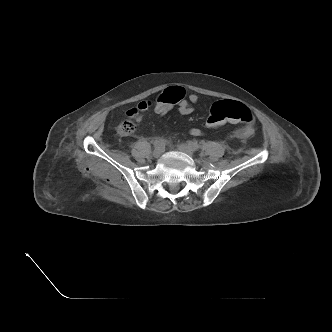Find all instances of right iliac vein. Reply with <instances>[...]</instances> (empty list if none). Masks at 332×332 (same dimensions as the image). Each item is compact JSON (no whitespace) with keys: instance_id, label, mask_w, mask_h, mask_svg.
Returning <instances> with one entry per match:
<instances>
[{"instance_id":"obj_1","label":"right iliac vein","mask_w":332,"mask_h":332,"mask_svg":"<svg viewBox=\"0 0 332 332\" xmlns=\"http://www.w3.org/2000/svg\"><path fill=\"white\" fill-rule=\"evenodd\" d=\"M162 152H163L162 147H157V148H155V150L153 151V156H154L155 158H158V157L161 156Z\"/></svg>"}]
</instances>
